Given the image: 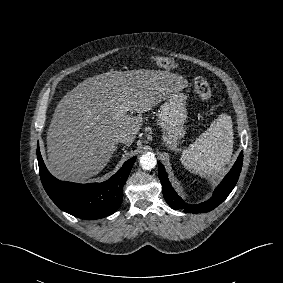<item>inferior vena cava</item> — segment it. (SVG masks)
Segmentation results:
<instances>
[{
  "label": "inferior vena cava",
  "mask_w": 283,
  "mask_h": 283,
  "mask_svg": "<svg viewBox=\"0 0 283 283\" xmlns=\"http://www.w3.org/2000/svg\"><path fill=\"white\" fill-rule=\"evenodd\" d=\"M114 140H115L116 143H126L128 141V139L125 135L116 136V138Z\"/></svg>",
  "instance_id": "inferior-vena-cava-1"
}]
</instances>
